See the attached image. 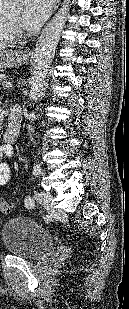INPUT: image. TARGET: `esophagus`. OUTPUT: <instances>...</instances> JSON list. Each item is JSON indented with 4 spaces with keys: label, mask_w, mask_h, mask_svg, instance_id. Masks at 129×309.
I'll return each mask as SVG.
<instances>
[{
    "label": "esophagus",
    "mask_w": 129,
    "mask_h": 309,
    "mask_svg": "<svg viewBox=\"0 0 129 309\" xmlns=\"http://www.w3.org/2000/svg\"><path fill=\"white\" fill-rule=\"evenodd\" d=\"M60 5V0H57L55 5H54V10H56Z\"/></svg>",
    "instance_id": "1"
}]
</instances>
